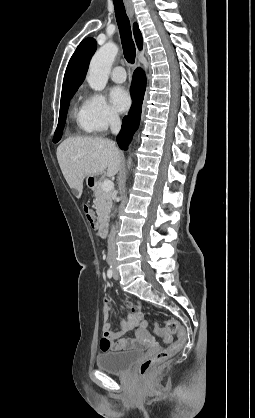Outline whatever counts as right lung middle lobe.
Returning a JSON list of instances; mask_svg holds the SVG:
<instances>
[{
  "label": "right lung middle lobe",
  "mask_w": 255,
  "mask_h": 418,
  "mask_svg": "<svg viewBox=\"0 0 255 418\" xmlns=\"http://www.w3.org/2000/svg\"><path fill=\"white\" fill-rule=\"evenodd\" d=\"M76 90L67 91L61 93V102H60V112H59V122L54 134L53 142L56 143L61 139L63 128L66 122L67 111L70 103V99L75 94Z\"/></svg>",
  "instance_id": "dd1d6c3e"
}]
</instances>
